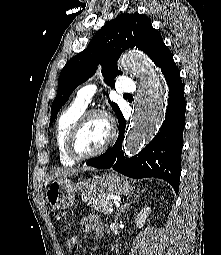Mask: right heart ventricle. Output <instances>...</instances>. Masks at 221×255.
Listing matches in <instances>:
<instances>
[{
  "label": "right heart ventricle",
  "instance_id": "obj_1",
  "mask_svg": "<svg viewBox=\"0 0 221 255\" xmlns=\"http://www.w3.org/2000/svg\"><path fill=\"white\" fill-rule=\"evenodd\" d=\"M85 108L86 107H82L73 103L60 114L56 122L54 132L55 146L60 163L64 166H72L76 163V161L70 158L67 154L66 142L72 126L84 113Z\"/></svg>",
  "mask_w": 221,
  "mask_h": 255
}]
</instances>
